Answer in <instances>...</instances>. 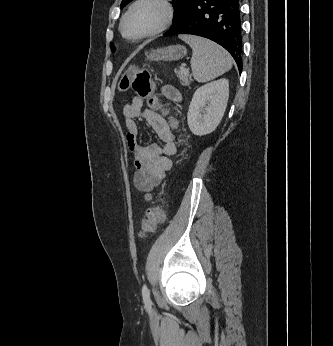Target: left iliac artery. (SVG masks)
Here are the masks:
<instances>
[{
	"mask_svg": "<svg viewBox=\"0 0 333 346\" xmlns=\"http://www.w3.org/2000/svg\"><path fill=\"white\" fill-rule=\"evenodd\" d=\"M142 297H143L146 309L150 312L151 311L152 302H151V299H150L149 289H148L146 284H144L143 287H142Z\"/></svg>",
	"mask_w": 333,
	"mask_h": 346,
	"instance_id": "left-iliac-artery-1",
	"label": "left iliac artery"
}]
</instances>
